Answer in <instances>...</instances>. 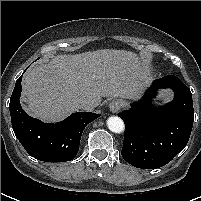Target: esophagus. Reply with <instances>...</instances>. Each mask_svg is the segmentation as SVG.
<instances>
[{
    "label": "esophagus",
    "instance_id": "34e87169",
    "mask_svg": "<svg viewBox=\"0 0 201 201\" xmlns=\"http://www.w3.org/2000/svg\"><path fill=\"white\" fill-rule=\"evenodd\" d=\"M122 101L119 99L113 100L109 104V109L112 113H118L120 109L122 108Z\"/></svg>",
    "mask_w": 201,
    "mask_h": 201
}]
</instances>
